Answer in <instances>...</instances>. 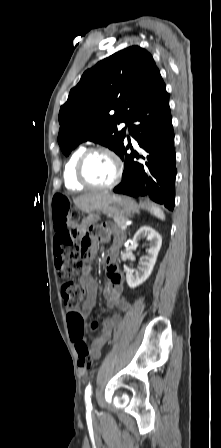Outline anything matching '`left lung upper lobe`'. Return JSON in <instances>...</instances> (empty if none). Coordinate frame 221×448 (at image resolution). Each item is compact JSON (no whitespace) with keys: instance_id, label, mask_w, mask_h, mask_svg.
<instances>
[{"instance_id":"1","label":"left lung upper lobe","mask_w":221,"mask_h":448,"mask_svg":"<svg viewBox=\"0 0 221 448\" xmlns=\"http://www.w3.org/2000/svg\"><path fill=\"white\" fill-rule=\"evenodd\" d=\"M165 88L149 52L139 46L123 49L84 72L59 112L58 143L63 153L84 141L99 143L119 155L125 129L144 104ZM114 110V114L110 111Z\"/></svg>"}]
</instances>
